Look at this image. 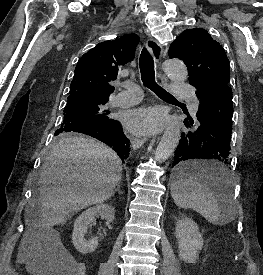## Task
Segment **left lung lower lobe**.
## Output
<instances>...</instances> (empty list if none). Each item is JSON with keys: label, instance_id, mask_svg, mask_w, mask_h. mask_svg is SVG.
<instances>
[{"label": "left lung lower lobe", "instance_id": "1", "mask_svg": "<svg viewBox=\"0 0 263 275\" xmlns=\"http://www.w3.org/2000/svg\"><path fill=\"white\" fill-rule=\"evenodd\" d=\"M196 96L200 101L196 114L199 124L195 130L181 134L172 165H178L175 170L177 179L192 178L216 186L225 178L220 171L185 162L193 159H213L226 165L230 164L232 89L229 84L222 83L197 90ZM184 123L186 127L194 125L193 121L189 122L187 119Z\"/></svg>", "mask_w": 263, "mask_h": 275}]
</instances>
